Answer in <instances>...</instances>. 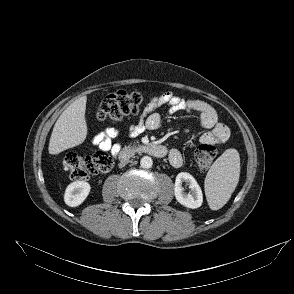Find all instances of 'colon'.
Instances as JSON below:
<instances>
[{
  "mask_svg": "<svg viewBox=\"0 0 294 294\" xmlns=\"http://www.w3.org/2000/svg\"><path fill=\"white\" fill-rule=\"evenodd\" d=\"M142 96L137 92L124 90L113 91L101 102L97 117L100 120L110 119L118 121L127 115H135L139 112ZM216 148L213 144L203 143L194 153L195 161L199 169L206 171L216 157ZM111 157L102 151L91 155L69 153L63 161V165L72 180L81 181L91 175L107 172L112 167Z\"/></svg>",
  "mask_w": 294,
  "mask_h": 294,
  "instance_id": "5ec220e1",
  "label": "colon"
}]
</instances>
